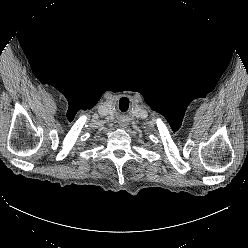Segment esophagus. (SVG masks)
Instances as JSON below:
<instances>
[{"mask_svg":"<svg viewBox=\"0 0 248 248\" xmlns=\"http://www.w3.org/2000/svg\"><path fill=\"white\" fill-rule=\"evenodd\" d=\"M119 125H120L121 128H126L127 122H125V121H120V122H119Z\"/></svg>","mask_w":248,"mask_h":248,"instance_id":"obj_1","label":"esophagus"}]
</instances>
